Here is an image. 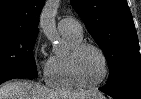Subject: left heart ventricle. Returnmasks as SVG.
<instances>
[{"label":"left heart ventricle","mask_w":141,"mask_h":99,"mask_svg":"<svg viewBox=\"0 0 141 99\" xmlns=\"http://www.w3.org/2000/svg\"><path fill=\"white\" fill-rule=\"evenodd\" d=\"M78 67L81 78L87 83L99 81L104 73L103 59L92 48H87L80 54Z\"/></svg>","instance_id":"b2bd125f"}]
</instances>
